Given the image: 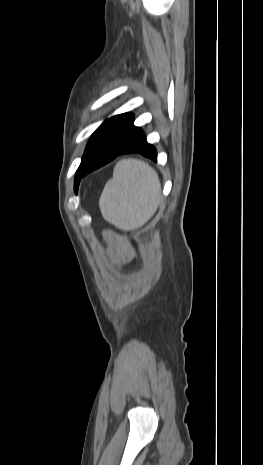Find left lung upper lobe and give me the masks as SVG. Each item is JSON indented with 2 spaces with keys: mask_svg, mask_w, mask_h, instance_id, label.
Wrapping results in <instances>:
<instances>
[{
  "mask_svg": "<svg viewBox=\"0 0 263 465\" xmlns=\"http://www.w3.org/2000/svg\"><path fill=\"white\" fill-rule=\"evenodd\" d=\"M119 116V115H118ZM118 116H114L108 120H106L92 135L91 139L89 140L88 144H87V147H86V150L84 152V155H83V158H82V161H81V164L76 172V177H75V189L77 188L79 182H80V179L82 178V174H81V170L84 166V164L86 163L87 159L89 158L93 148L95 147L97 141L99 140V138L101 137V135L103 134V132L108 128V126L118 117Z\"/></svg>",
  "mask_w": 263,
  "mask_h": 465,
  "instance_id": "1",
  "label": "left lung upper lobe"
}]
</instances>
